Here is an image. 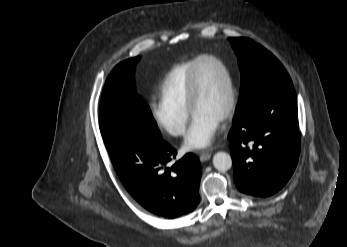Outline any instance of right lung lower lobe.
<instances>
[{
  "label": "right lung lower lobe",
  "instance_id": "1",
  "mask_svg": "<svg viewBox=\"0 0 347 247\" xmlns=\"http://www.w3.org/2000/svg\"><path fill=\"white\" fill-rule=\"evenodd\" d=\"M103 139L123 186L144 208L170 219L196 208L201 168L194 154L170 165L176 150L132 122L113 127Z\"/></svg>",
  "mask_w": 347,
  "mask_h": 247
}]
</instances>
